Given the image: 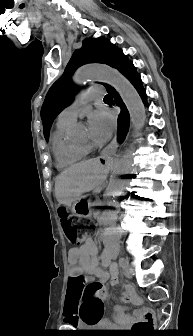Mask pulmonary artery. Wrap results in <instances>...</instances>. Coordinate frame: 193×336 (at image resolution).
<instances>
[{
	"instance_id": "pulmonary-artery-1",
	"label": "pulmonary artery",
	"mask_w": 193,
	"mask_h": 336,
	"mask_svg": "<svg viewBox=\"0 0 193 336\" xmlns=\"http://www.w3.org/2000/svg\"><path fill=\"white\" fill-rule=\"evenodd\" d=\"M105 95L104 89L91 87L87 91L81 92L75 102L66 107L59 115L57 125H68L76 121L81 105L87 101L102 98Z\"/></svg>"
}]
</instances>
